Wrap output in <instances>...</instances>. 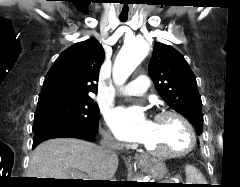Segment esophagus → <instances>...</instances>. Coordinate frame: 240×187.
<instances>
[{"instance_id":"esophagus-1","label":"esophagus","mask_w":240,"mask_h":187,"mask_svg":"<svg viewBox=\"0 0 240 187\" xmlns=\"http://www.w3.org/2000/svg\"><path fill=\"white\" fill-rule=\"evenodd\" d=\"M148 160V156L147 155H140L138 158L139 162H146Z\"/></svg>"}]
</instances>
